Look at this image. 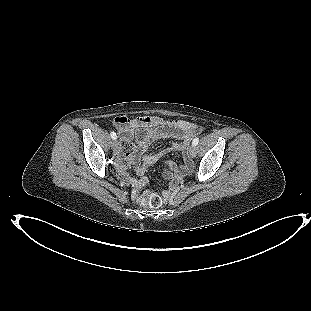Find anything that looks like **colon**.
I'll return each mask as SVG.
<instances>
[{
    "label": "colon",
    "instance_id": "5ec220e1",
    "mask_svg": "<svg viewBox=\"0 0 311 311\" xmlns=\"http://www.w3.org/2000/svg\"><path fill=\"white\" fill-rule=\"evenodd\" d=\"M151 122L155 121L154 118L150 119ZM167 163V161H166ZM142 203L149 206V207H152V208H157L159 206L162 205L163 203V199L162 197L157 194L156 192H147L144 196V198L142 199Z\"/></svg>",
    "mask_w": 311,
    "mask_h": 311
}]
</instances>
